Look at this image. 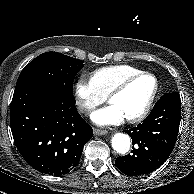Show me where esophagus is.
<instances>
[{
  "label": "esophagus",
  "instance_id": "34e87169",
  "mask_svg": "<svg viewBox=\"0 0 194 194\" xmlns=\"http://www.w3.org/2000/svg\"><path fill=\"white\" fill-rule=\"evenodd\" d=\"M93 133H94V135H105L108 133V131L103 130V129L94 128Z\"/></svg>",
  "mask_w": 194,
  "mask_h": 194
}]
</instances>
